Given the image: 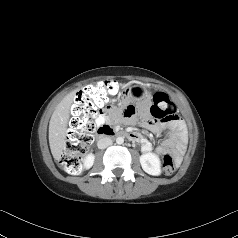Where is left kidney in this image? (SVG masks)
<instances>
[{"label":"left kidney","mask_w":238,"mask_h":238,"mask_svg":"<svg viewBox=\"0 0 238 238\" xmlns=\"http://www.w3.org/2000/svg\"><path fill=\"white\" fill-rule=\"evenodd\" d=\"M142 169L154 176L161 174V163L159 157L154 153H145L140 156Z\"/></svg>","instance_id":"left-kidney-1"}]
</instances>
